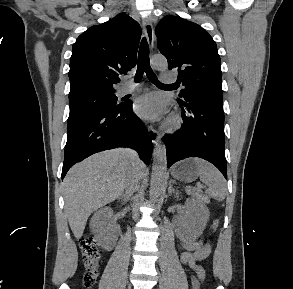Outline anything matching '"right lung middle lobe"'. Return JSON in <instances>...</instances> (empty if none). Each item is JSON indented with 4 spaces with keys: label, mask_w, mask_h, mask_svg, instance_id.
Returning a JSON list of instances; mask_svg holds the SVG:
<instances>
[{
    "label": "right lung middle lobe",
    "mask_w": 293,
    "mask_h": 289,
    "mask_svg": "<svg viewBox=\"0 0 293 289\" xmlns=\"http://www.w3.org/2000/svg\"><path fill=\"white\" fill-rule=\"evenodd\" d=\"M69 104L70 114L68 123H71L100 111L121 107L125 104V102L118 104L115 93H112L78 99L69 102Z\"/></svg>",
    "instance_id": "obj_1"
}]
</instances>
